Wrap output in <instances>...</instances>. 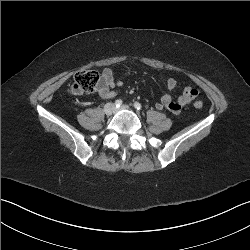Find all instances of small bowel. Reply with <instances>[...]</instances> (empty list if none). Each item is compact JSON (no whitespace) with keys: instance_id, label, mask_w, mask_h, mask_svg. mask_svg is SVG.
<instances>
[{"instance_id":"1","label":"small bowel","mask_w":250,"mask_h":250,"mask_svg":"<svg viewBox=\"0 0 250 250\" xmlns=\"http://www.w3.org/2000/svg\"><path fill=\"white\" fill-rule=\"evenodd\" d=\"M159 81L162 82L169 91H172L177 81L172 77L159 76ZM123 86V82L117 81L114 78L111 68H104L101 74V79L97 87V95L101 99H109L115 97L119 93V89ZM199 94V91L191 86L186 87L182 94L174 99L170 93H165L156 103L158 110H169L172 113L179 114L182 109L190 104Z\"/></svg>"}]
</instances>
